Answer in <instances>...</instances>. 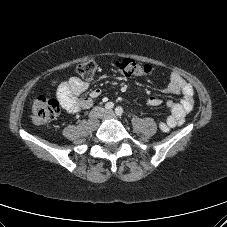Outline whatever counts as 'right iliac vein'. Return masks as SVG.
Listing matches in <instances>:
<instances>
[{
  "label": "right iliac vein",
  "mask_w": 227,
  "mask_h": 227,
  "mask_svg": "<svg viewBox=\"0 0 227 227\" xmlns=\"http://www.w3.org/2000/svg\"><path fill=\"white\" fill-rule=\"evenodd\" d=\"M104 116V110L102 108H97L93 110L90 114L89 125L94 128L98 124V119Z\"/></svg>",
  "instance_id": "1"
}]
</instances>
